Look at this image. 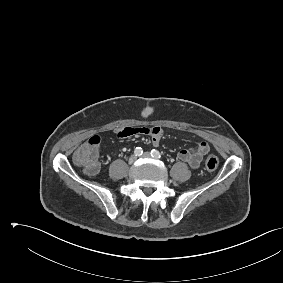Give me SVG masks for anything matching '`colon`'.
<instances>
[{"mask_svg": "<svg viewBox=\"0 0 283 283\" xmlns=\"http://www.w3.org/2000/svg\"><path fill=\"white\" fill-rule=\"evenodd\" d=\"M100 145V137L93 136L85 144H83L74 154L75 162L81 166L86 172L94 173L98 169V151ZM205 168L208 171H214L219 165V159L214 154H209L205 158Z\"/></svg>", "mask_w": 283, "mask_h": 283, "instance_id": "colon-1", "label": "colon"}]
</instances>
